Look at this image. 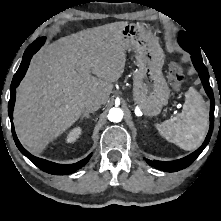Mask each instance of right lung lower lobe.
Instances as JSON below:
<instances>
[{
    "label": "right lung lower lobe",
    "instance_id": "1",
    "mask_svg": "<svg viewBox=\"0 0 221 221\" xmlns=\"http://www.w3.org/2000/svg\"><path fill=\"white\" fill-rule=\"evenodd\" d=\"M44 42H45V37L38 38L26 49V51L24 52L20 67L13 77V80L11 83V88H10V100H9V104H8V113H9V117H10L11 121L13 119V108H14V104H15L16 87L19 85L20 81L24 77L33 54L44 44ZM11 128H12V134H13V138L16 143V146L21 151V153L23 155H25L31 162H33L38 168H40L41 170H43L44 172H47L49 174L66 175V174L73 173L74 171L83 167L89 161V159L92 155V153L89 154L86 158H84L83 160H81L77 163L56 164V163L47 161L45 159H41V158L31 155L20 144V142L16 136V133L14 130V125L12 122H11Z\"/></svg>",
    "mask_w": 221,
    "mask_h": 221
}]
</instances>
